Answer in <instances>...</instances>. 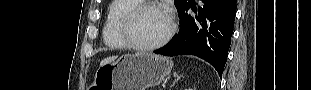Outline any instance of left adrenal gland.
Returning <instances> with one entry per match:
<instances>
[{
	"label": "left adrenal gland",
	"mask_w": 311,
	"mask_h": 90,
	"mask_svg": "<svg viewBox=\"0 0 311 90\" xmlns=\"http://www.w3.org/2000/svg\"><path fill=\"white\" fill-rule=\"evenodd\" d=\"M175 81L173 82V85L181 78L177 73H174Z\"/></svg>",
	"instance_id": "1"
}]
</instances>
